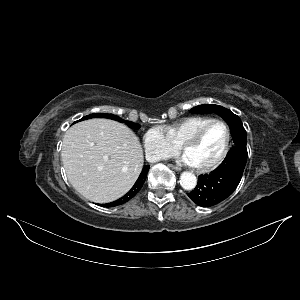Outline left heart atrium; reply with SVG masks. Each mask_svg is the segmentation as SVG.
I'll return each mask as SVG.
<instances>
[{
    "mask_svg": "<svg viewBox=\"0 0 300 300\" xmlns=\"http://www.w3.org/2000/svg\"><path fill=\"white\" fill-rule=\"evenodd\" d=\"M182 161H183L185 164H187V165H193L192 162H191V160L189 159V157H188L186 154H184V155L182 156Z\"/></svg>",
    "mask_w": 300,
    "mask_h": 300,
    "instance_id": "obj_1",
    "label": "left heart atrium"
}]
</instances>
